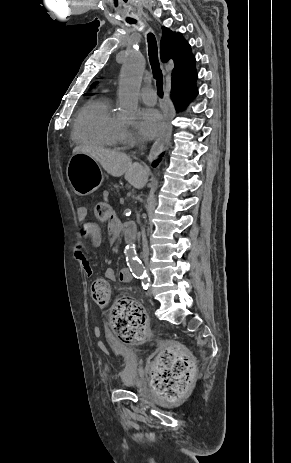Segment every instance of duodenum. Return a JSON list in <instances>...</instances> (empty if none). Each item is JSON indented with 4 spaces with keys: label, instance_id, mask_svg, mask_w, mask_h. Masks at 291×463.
Returning a JSON list of instances; mask_svg holds the SVG:
<instances>
[{
    "label": "duodenum",
    "instance_id": "duodenum-1",
    "mask_svg": "<svg viewBox=\"0 0 291 463\" xmlns=\"http://www.w3.org/2000/svg\"><path fill=\"white\" fill-rule=\"evenodd\" d=\"M121 230V227L125 233V236H126V243H129L130 241L134 240L135 236H136V228H135V225L132 221H127V222H124L122 225L119 224L118 226ZM119 235V234H118ZM118 238V237H117ZM125 271L127 273H131L130 269L129 268H124ZM128 274L129 276H131V274Z\"/></svg>",
    "mask_w": 291,
    "mask_h": 463
}]
</instances>
